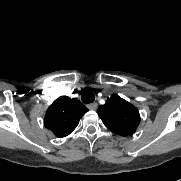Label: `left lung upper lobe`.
<instances>
[{
	"label": "left lung upper lobe",
	"instance_id": "5c2ea615",
	"mask_svg": "<svg viewBox=\"0 0 181 181\" xmlns=\"http://www.w3.org/2000/svg\"><path fill=\"white\" fill-rule=\"evenodd\" d=\"M97 113L109 130L121 136L133 135L140 123L138 109L117 94L100 105Z\"/></svg>",
	"mask_w": 181,
	"mask_h": 181
}]
</instances>
